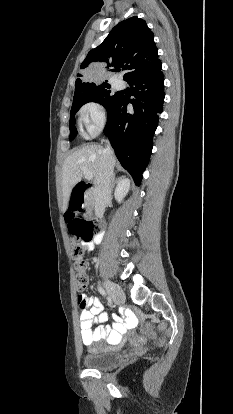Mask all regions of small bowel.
<instances>
[{
	"label": "small bowel",
	"instance_id": "obj_1",
	"mask_svg": "<svg viewBox=\"0 0 233 414\" xmlns=\"http://www.w3.org/2000/svg\"><path fill=\"white\" fill-rule=\"evenodd\" d=\"M102 235L99 234L94 241L84 243L88 250H93L95 243L101 241ZM79 300L80 314V328L81 340L86 346L99 340H106L110 344L117 345L121 343L123 334L130 329H133L138 322L137 316L131 311H126V320L122 322L120 318L113 317V327L103 324L108 320V315L104 312V307L100 300L93 296L85 295V292H80ZM116 305L115 303L113 304ZM126 305L125 303L123 304ZM100 323L97 327L95 324Z\"/></svg>",
	"mask_w": 233,
	"mask_h": 414
}]
</instances>
